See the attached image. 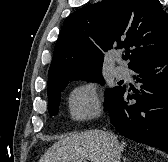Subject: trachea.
<instances>
[{
    "label": "trachea",
    "instance_id": "3493384b",
    "mask_svg": "<svg viewBox=\"0 0 168 162\" xmlns=\"http://www.w3.org/2000/svg\"><path fill=\"white\" fill-rule=\"evenodd\" d=\"M123 59L127 60V59H129V56H124Z\"/></svg>",
    "mask_w": 168,
    "mask_h": 162
}]
</instances>
